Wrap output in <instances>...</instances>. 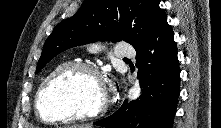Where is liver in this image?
<instances>
[{
	"mask_svg": "<svg viewBox=\"0 0 221 128\" xmlns=\"http://www.w3.org/2000/svg\"><path fill=\"white\" fill-rule=\"evenodd\" d=\"M68 128H92V125L87 124V125H73L71 127Z\"/></svg>",
	"mask_w": 221,
	"mask_h": 128,
	"instance_id": "liver-1",
	"label": "liver"
}]
</instances>
